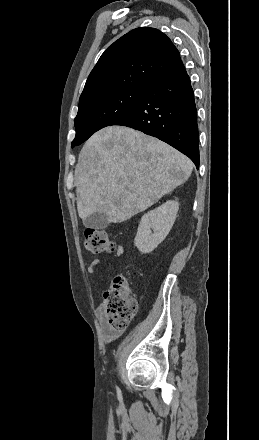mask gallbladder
<instances>
[{"mask_svg": "<svg viewBox=\"0 0 259 440\" xmlns=\"http://www.w3.org/2000/svg\"><path fill=\"white\" fill-rule=\"evenodd\" d=\"M109 221L107 216L104 213L95 212L89 215L86 219L83 220V225L86 228L92 229H105L109 226Z\"/></svg>", "mask_w": 259, "mask_h": 440, "instance_id": "bac80fb5", "label": "gallbladder"}]
</instances>
